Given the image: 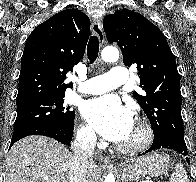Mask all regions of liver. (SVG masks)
<instances>
[{
	"label": "liver",
	"instance_id": "obj_1",
	"mask_svg": "<svg viewBox=\"0 0 196 182\" xmlns=\"http://www.w3.org/2000/svg\"><path fill=\"white\" fill-rule=\"evenodd\" d=\"M72 153L58 141L45 136H29L10 149L6 182H70ZM101 167L90 161L87 182H98Z\"/></svg>",
	"mask_w": 196,
	"mask_h": 182
}]
</instances>
